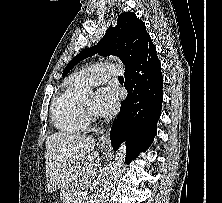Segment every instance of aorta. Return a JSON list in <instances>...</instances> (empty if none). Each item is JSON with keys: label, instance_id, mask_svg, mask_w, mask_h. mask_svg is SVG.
Returning a JSON list of instances; mask_svg holds the SVG:
<instances>
[{"label": "aorta", "instance_id": "aorta-1", "mask_svg": "<svg viewBox=\"0 0 222 203\" xmlns=\"http://www.w3.org/2000/svg\"><path fill=\"white\" fill-rule=\"evenodd\" d=\"M109 59L119 61L118 58L110 56ZM120 62V61H119ZM86 93H91V90L86 88ZM126 156V144L125 142L122 143L119 150L117 151L115 161L113 162L108 175L106 176L102 187L100 189V193L98 195L97 203H106L108 196L114 186V183L118 177L119 172L123 166L124 160Z\"/></svg>", "mask_w": 222, "mask_h": 203}]
</instances>
